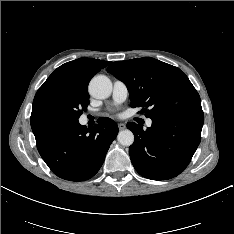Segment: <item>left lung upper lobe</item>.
<instances>
[{
    "label": "left lung upper lobe",
    "instance_id": "left-lung-upper-lobe-1",
    "mask_svg": "<svg viewBox=\"0 0 234 234\" xmlns=\"http://www.w3.org/2000/svg\"><path fill=\"white\" fill-rule=\"evenodd\" d=\"M107 71L127 85L131 107H144L142 112L148 118L202 109L188 77L170 64L144 57L114 62Z\"/></svg>",
    "mask_w": 234,
    "mask_h": 234
}]
</instances>
